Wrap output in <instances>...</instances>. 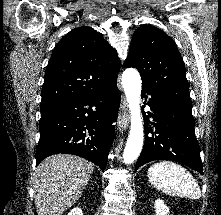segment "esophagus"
<instances>
[{"mask_svg": "<svg viewBox=\"0 0 221 215\" xmlns=\"http://www.w3.org/2000/svg\"><path fill=\"white\" fill-rule=\"evenodd\" d=\"M128 124H129V114H128L127 102H126V99L123 98L119 115H118L119 132H123L124 130H126L128 127Z\"/></svg>", "mask_w": 221, "mask_h": 215, "instance_id": "esophagus-1", "label": "esophagus"}]
</instances>
